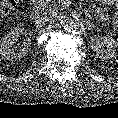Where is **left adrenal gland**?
Masks as SVG:
<instances>
[{"instance_id":"a2214340","label":"left adrenal gland","mask_w":118,"mask_h":118,"mask_svg":"<svg viewBox=\"0 0 118 118\" xmlns=\"http://www.w3.org/2000/svg\"><path fill=\"white\" fill-rule=\"evenodd\" d=\"M88 24H89L90 26L94 27V23H93V22L88 21Z\"/></svg>"}]
</instances>
